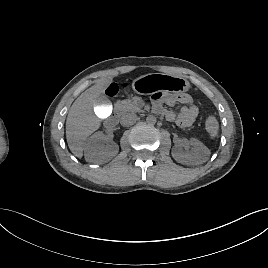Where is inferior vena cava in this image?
Wrapping results in <instances>:
<instances>
[{
    "label": "inferior vena cava",
    "mask_w": 268,
    "mask_h": 268,
    "mask_svg": "<svg viewBox=\"0 0 268 268\" xmlns=\"http://www.w3.org/2000/svg\"><path fill=\"white\" fill-rule=\"evenodd\" d=\"M138 117L135 113H128L121 117V124L123 126H131L137 121Z\"/></svg>",
    "instance_id": "inferior-vena-cava-1"
}]
</instances>
